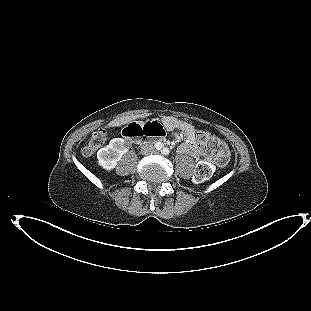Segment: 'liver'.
I'll return each mask as SVG.
<instances>
[{"mask_svg": "<svg viewBox=\"0 0 311 311\" xmlns=\"http://www.w3.org/2000/svg\"><path fill=\"white\" fill-rule=\"evenodd\" d=\"M148 116V114L145 115H131V116H125V117H120V118H116L114 120H112L106 127L110 128V127H118L121 125H125L127 123L132 122L133 120L137 119V118H143Z\"/></svg>", "mask_w": 311, "mask_h": 311, "instance_id": "obj_1", "label": "liver"}]
</instances>
